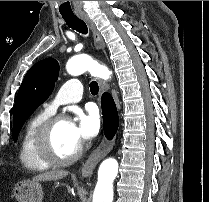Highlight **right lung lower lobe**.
<instances>
[{
	"mask_svg": "<svg viewBox=\"0 0 209 202\" xmlns=\"http://www.w3.org/2000/svg\"><path fill=\"white\" fill-rule=\"evenodd\" d=\"M101 102L104 121V133L107 139L110 140L113 138L118 129V113L115 102L109 93L106 92L102 95Z\"/></svg>",
	"mask_w": 209,
	"mask_h": 202,
	"instance_id": "obj_1",
	"label": "right lung lower lobe"
}]
</instances>
